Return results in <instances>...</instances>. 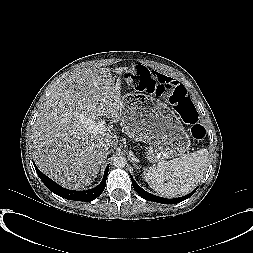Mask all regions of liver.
Segmentation results:
<instances>
[{"label":"liver","mask_w":253,"mask_h":253,"mask_svg":"<svg viewBox=\"0 0 253 253\" xmlns=\"http://www.w3.org/2000/svg\"><path fill=\"white\" fill-rule=\"evenodd\" d=\"M127 67L112 70L118 75ZM121 78L114 83L109 68H85L70 75L50 93L32 127L33 158L38 168L66 188H84L97 177L104 146L114 149L112 128L89 133L81 118L107 116L121 121Z\"/></svg>","instance_id":"obj_1"}]
</instances>
